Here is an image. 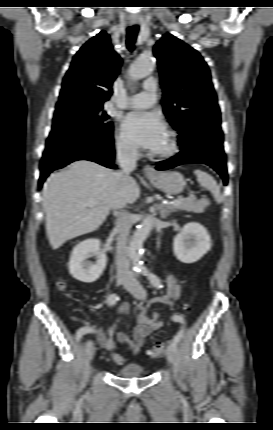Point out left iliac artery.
I'll return each mask as SVG.
<instances>
[{
  "label": "left iliac artery",
  "instance_id": "left-iliac-artery-1",
  "mask_svg": "<svg viewBox=\"0 0 273 430\" xmlns=\"http://www.w3.org/2000/svg\"><path fill=\"white\" fill-rule=\"evenodd\" d=\"M142 273L148 277L150 283L154 287H156L157 289H160V288L163 287L158 276H156L153 273H150L148 270H143ZM172 319L174 321L180 322V324H179L180 325L179 332H178V334L176 336H174V338L172 340V343H171V346H172L173 350L176 351L177 345H178L179 341L181 340L183 334L186 333V329L187 328L185 326L186 325L185 322H183L184 321V316L183 315H178L177 317H173Z\"/></svg>",
  "mask_w": 273,
  "mask_h": 430
}]
</instances>
